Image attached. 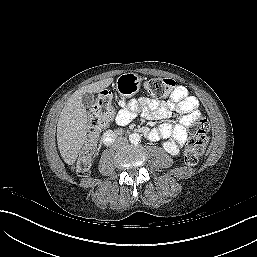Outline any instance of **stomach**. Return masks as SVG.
Returning <instances> with one entry per match:
<instances>
[{
	"label": "stomach",
	"mask_w": 257,
	"mask_h": 257,
	"mask_svg": "<svg viewBox=\"0 0 257 257\" xmlns=\"http://www.w3.org/2000/svg\"><path fill=\"white\" fill-rule=\"evenodd\" d=\"M141 78L135 73H124L116 81V89L122 97H132L140 89Z\"/></svg>",
	"instance_id": "1"
}]
</instances>
